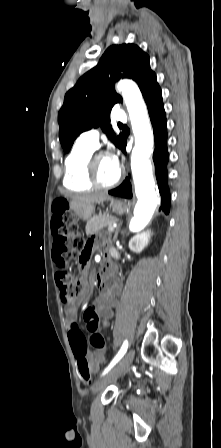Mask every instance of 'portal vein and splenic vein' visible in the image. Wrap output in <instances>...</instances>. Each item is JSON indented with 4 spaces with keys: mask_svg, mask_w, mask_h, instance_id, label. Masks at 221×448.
<instances>
[{
    "mask_svg": "<svg viewBox=\"0 0 221 448\" xmlns=\"http://www.w3.org/2000/svg\"><path fill=\"white\" fill-rule=\"evenodd\" d=\"M116 227H117V225H116V224H113V225H111V226L108 227V231L112 232V231H114V229H115Z\"/></svg>",
    "mask_w": 221,
    "mask_h": 448,
    "instance_id": "18ae733b",
    "label": "portal vein and splenic vein"
}]
</instances>
